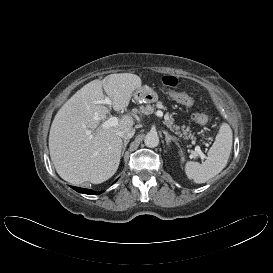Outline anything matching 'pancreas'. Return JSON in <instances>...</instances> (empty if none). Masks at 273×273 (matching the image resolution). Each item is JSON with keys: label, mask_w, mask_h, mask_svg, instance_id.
<instances>
[{"label": "pancreas", "mask_w": 273, "mask_h": 273, "mask_svg": "<svg viewBox=\"0 0 273 273\" xmlns=\"http://www.w3.org/2000/svg\"><path fill=\"white\" fill-rule=\"evenodd\" d=\"M158 108H163L164 110L166 109L165 107L162 106L161 102H158L156 105ZM154 111V106L151 105H146V106H140V112L143 113L144 115H149L152 114ZM164 124L175 134L178 136H183L186 139H193V135L189 132V129L185 127H179L178 125L174 124V119L171 114L168 112L164 116Z\"/></svg>", "instance_id": "pancreas-1"}]
</instances>
